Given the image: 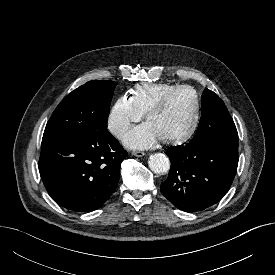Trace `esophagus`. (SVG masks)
I'll list each match as a JSON object with an SVG mask.
<instances>
[{
	"instance_id": "obj_1",
	"label": "esophagus",
	"mask_w": 275,
	"mask_h": 275,
	"mask_svg": "<svg viewBox=\"0 0 275 275\" xmlns=\"http://www.w3.org/2000/svg\"><path fill=\"white\" fill-rule=\"evenodd\" d=\"M132 155H133V156H136V157H143V156L146 155V153H145V152H142V151H133V152H132Z\"/></svg>"
}]
</instances>
